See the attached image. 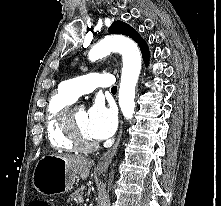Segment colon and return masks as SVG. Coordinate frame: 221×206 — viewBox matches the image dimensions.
I'll list each match as a JSON object with an SVG mask.
<instances>
[{"mask_svg":"<svg viewBox=\"0 0 221 206\" xmlns=\"http://www.w3.org/2000/svg\"><path fill=\"white\" fill-rule=\"evenodd\" d=\"M29 206H49V204L43 200H33Z\"/></svg>","mask_w":221,"mask_h":206,"instance_id":"1","label":"colon"}]
</instances>
